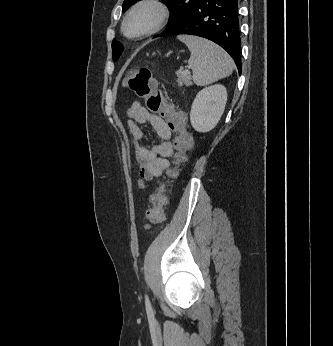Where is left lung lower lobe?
<instances>
[{
    "label": "left lung lower lobe",
    "mask_w": 333,
    "mask_h": 346,
    "mask_svg": "<svg viewBox=\"0 0 333 346\" xmlns=\"http://www.w3.org/2000/svg\"><path fill=\"white\" fill-rule=\"evenodd\" d=\"M177 34L196 35L217 43L230 54L241 74L238 0H195L186 16L160 36Z\"/></svg>",
    "instance_id": "0a47b994"
}]
</instances>
